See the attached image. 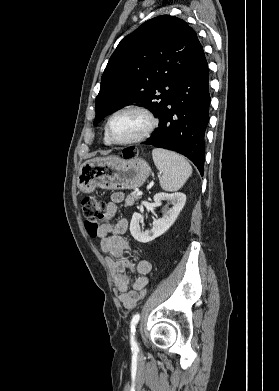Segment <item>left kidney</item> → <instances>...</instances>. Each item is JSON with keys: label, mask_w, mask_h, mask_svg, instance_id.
<instances>
[{"label": "left kidney", "mask_w": 279, "mask_h": 391, "mask_svg": "<svg viewBox=\"0 0 279 391\" xmlns=\"http://www.w3.org/2000/svg\"><path fill=\"white\" fill-rule=\"evenodd\" d=\"M154 202L159 204L163 200H167L173 206L162 218L153 222L151 230L141 231L140 223H143V216L139 213H134L130 223V232L135 240L142 243H148L155 238L164 234L177 219L180 211L183 209L186 202V195L182 192L176 193H157L154 197Z\"/></svg>", "instance_id": "left-kidney-1"}]
</instances>
